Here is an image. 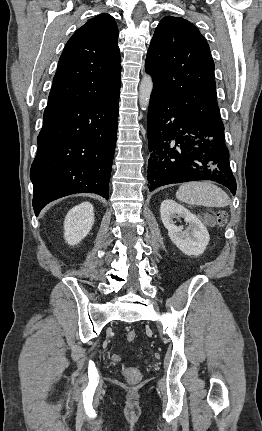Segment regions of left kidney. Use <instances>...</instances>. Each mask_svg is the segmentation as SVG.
I'll list each match as a JSON object with an SVG mask.
<instances>
[{
	"instance_id": "1",
	"label": "left kidney",
	"mask_w": 262,
	"mask_h": 431,
	"mask_svg": "<svg viewBox=\"0 0 262 431\" xmlns=\"http://www.w3.org/2000/svg\"><path fill=\"white\" fill-rule=\"evenodd\" d=\"M161 220L171 241L184 254L201 255L209 243L210 236L202 221L173 200H164L160 206ZM183 218L189 225L186 229L177 226L174 219Z\"/></svg>"
}]
</instances>
